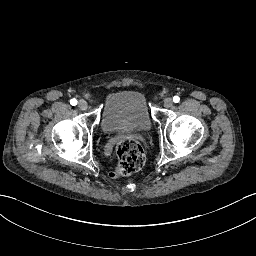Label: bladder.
<instances>
[{
	"mask_svg": "<svg viewBox=\"0 0 256 256\" xmlns=\"http://www.w3.org/2000/svg\"><path fill=\"white\" fill-rule=\"evenodd\" d=\"M101 127L108 133L150 129L151 118L143 94L133 90L110 94L102 109Z\"/></svg>",
	"mask_w": 256,
	"mask_h": 256,
	"instance_id": "1",
	"label": "bladder"
}]
</instances>
